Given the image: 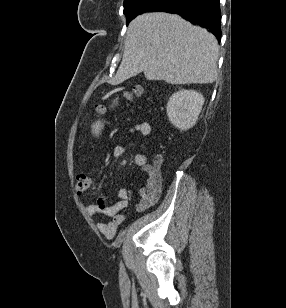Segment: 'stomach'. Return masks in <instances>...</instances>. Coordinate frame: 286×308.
Segmentation results:
<instances>
[{
  "label": "stomach",
  "mask_w": 286,
  "mask_h": 308,
  "mask_svg": "<svg viewBox=\"0 0 286 308\" xmlns=\"http://www.w3.org/2000/svg\"><path fill=\"white\" fill-rule=\"evenodd\" d=\"M119 104V97H106V103H104L103 108L100 110L101 116H108L109 110H117ZM97 124H110L111 118L110 117H97L96 118Z\"/></svg>",
  "instance_id": "0dacf381"
}]
</instances>
